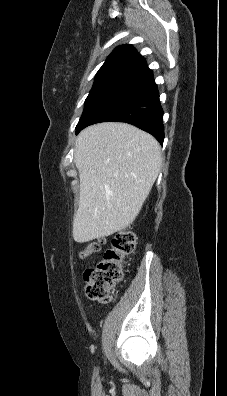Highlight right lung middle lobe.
<instances>
[{
    "label": "right lung middle lobe",
    "instance_id": "dd1d6c3e",
    "mask_svg": "<svg viewBox=\"0 0 227 396\" xmlns=\"http://www.w3.org/2000/svg\"><path fill=\"white\" fill-rule=\"evenodd\" d=\"M132 73L130 70L121 69L98 72L93 87L85 100L84 111L77 126L83 122L94 108L130 77Z\"/></svg>",
    "mask_w": 227,
    "mask_h": 396
}]
</instances>
